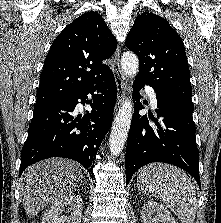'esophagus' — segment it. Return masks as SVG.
Returning <instances> with one entry per match:
<instances>
[{"label":"esophagus","instance_id":"obj_1","mask_svg":"<svg viewBox=\"0 0 221 223\" xmlns=\"http://www.w3.org/2000/svg\"><path fill=\"white\" fill-rule=\"evenodd\" d=\"M112 70L115 76L117 87V102L116 108L120 107L126 97L127 80L120 67V49L117 48L114 57Z\"/></svg>","mask_w":221,"mask_h":223}]
</instances>
